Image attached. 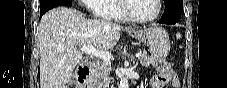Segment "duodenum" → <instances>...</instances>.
<instances>
[{
  "instance_id": "duodenum-1",
  "label": "duodenum",
  "mask_w": 227,
  "mask_h": 88,
  "mask_svg": "<svg viewBox=\"0 0 227 88\" xmlns=\"http://www.w3.org/2000/svg\"><path fill=\"white\" fill-rule=\"evenodd\" d=\"M92 62L89 60L83 61L78 67L77 82L84 85L86 79L88 78L91 70Z\"/></svg>"
}]
</instances>
